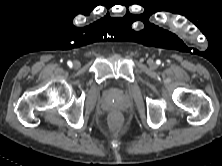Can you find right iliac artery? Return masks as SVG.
I'll return each mask as SVG.
<instances>
[{
	"mask_svg": "<svg viewBox=\"0 0 222 166\" xmlns=\"http://www.w3.org/2000/svg\"><path fill=\"white\" fill-rule=\"evenodd\" d=\"M67 64H68V66H70V67L72 66V62H71V61H68Z\"/></svg>",
	"mask_w": 222,
	"mask_h": 166,
	"instance_id": "1",
	"label": "right iliac artery"
}]
</instances>
